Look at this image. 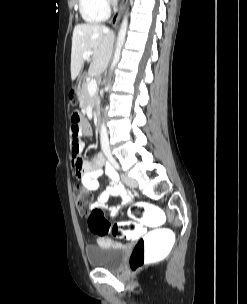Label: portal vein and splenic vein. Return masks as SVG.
<instances>
[{"label":"portal vein and splenic vein","instance_id":"18ae733b","mask_svg":"<svg viewBox=\"0 0 247 304\" xmlns=\"http://www.w3.org/2000/svg\"><path fill=\"white\" fill-rule=\"evenodd\" d=\"M92 55V52L87 51L83 54L84 59H89V57ZM87 89L90 95H93L97 92V83L95 79H91L88 81Z\"/></svg>","mask_w":247,"mask_h":304}]
</instances>
